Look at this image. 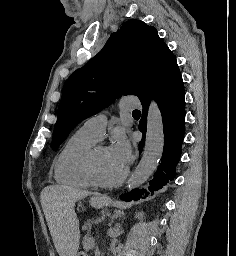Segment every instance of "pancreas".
Wrapping results in <instances>:
<instances>
[{
	"label": "pancreas",
	"instance_id": "cf45deb5",
	"mask_svg": "<svg viewBox=\"0 0 236 256\" xmlns=\"http://www.w3.org/2000/svg\"><path fill=\"white\" fill-rule=\"evenodd\" d=\"M84 230L85 232H88V235H91L90 227H85ZM82 242L83 247H93V243H96V238H83Z\"/></svg>",
	"mask_w": 236,
	"mask_h": 256
}]
</instances>
